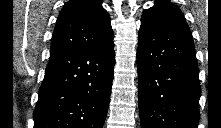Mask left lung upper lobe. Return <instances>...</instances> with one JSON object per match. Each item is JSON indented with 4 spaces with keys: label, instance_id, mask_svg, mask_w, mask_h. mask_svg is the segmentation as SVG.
Here are the masks:
<instances>
[{
    "label": "left lung upper lobe",
    "instance_id": "left-lung-upper-lobe-1",
    "mask_svg": "<svg viewBox=\"0 0 221 128\" xmlns=\"http://www.w3.org/2000/svg\"><path fill=\"white\" fill-rule=\"evenodd\" d=\"M154 19L182 33L192 36L189 26L179 8L166 0H158L155 6L143 11L142 19Z\"/></svg>",
    "mask_w": 221,
    "mask_h": 128
}]
</instances>
